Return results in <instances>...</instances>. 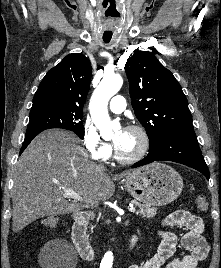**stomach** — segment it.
Wrapping results in <instances>:
<instances>
[{
	"instance_id": "obj_1",
	"label": "stomach",
	"mask_w": 221,
	"mask_h": 268,
	"mask_svg": "<svg viewBox=\"0 0 221 268\" xmlns=\"http://www.w3.org/2000/svg\"><path fill=\"white\" fill-rule=\"evenodd\" d=\"M125 187L133 198L147 206H164L181 194L183 180L172 167L152 163L129 172Z\"/></svg>"
}]
</instances>
